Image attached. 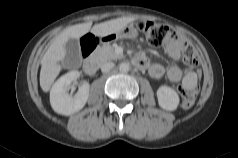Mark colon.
Here are the masks:
<instances>
[{
	"label": "colon",
	"instance_id": "1",
	"mask_svg": "<svg viewBox=\"0 0 238 158\" xmlns=\"http://www.w3.org/2000/svg\"><path fill=\"white\" fill-rule=\"evenodd\" d=\"M138 29L145 35L148 43L153 47H159L165 41L176 37L175 33L167 26L152 21H140L137 24ZM96 46V39L92 36H86L82 41V51L84 54L91 52ZM182 60L191 70L197 71L199 66L198 56L189 44H185L182 52ZM181 105L184 108L191 107L198 94L196 85L187 87L180 86Z\"/></svg>",
	"mask_w": 238,
	"mask_h": 158
}]
</instances>
